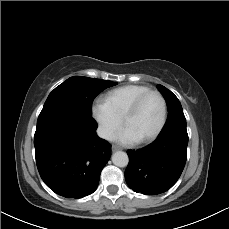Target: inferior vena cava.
Returning <instances> with one entry per match:
<instances>
[{
	"mask_svg": "<svg viewBox=\"0 0 229 229\" xmlns=\"http://www.w3.org/2000/svg\"><path fill=\"white\" fill-rule=\"evenodd\" d=\"M97 135L100 138H103V139L108 140V141H111L114 138V135L110 130H108L107 128L101 127V126L98 127V129H97Z\"/></svg>",
	"mask_w": 229,
	"mask_h": 229,
	"instance_id": "602c4592",
	"label": "inferior vena cava"
}]
</instances>
